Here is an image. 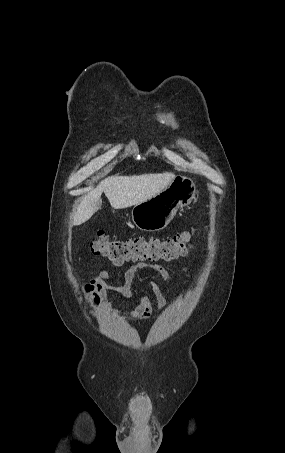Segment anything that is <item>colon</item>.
<instances>
[{"instance_id": "obj_1", "label": "colon", "mask_w": 285, "mask_h": 453, "mask_svg": "<svg viewBox=\"0 0 285 453\" xmlns=\"http://www.w3.org/2000/svg\"><path fill=\"white\" fill-rule=\"evenodd\" d=\"M191 239L192 232L184 231L168 238L111 240L106 233L98 231L90 247L93 254L105 256L115 264L126 261H169L186 255L192 246Z\"/></svg>"}]
</instances>
